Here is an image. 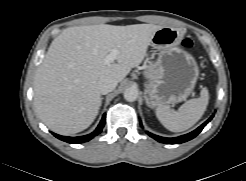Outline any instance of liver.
I'll return each mask as SVG.
<instances>
[{
	"instance_id": "liver-1",
	"label": "liver",
	"mask_w": 246,
	"mask_h": 181,
	"mask_svg": "<svg viewBox=\"0 0 246 181\" xmlns=\"http://www.w3.org/2000/svg\"><path fill=\"white\" fill-rule=\"evenodd\" d=\"M162 26L106 24L66 28L51 43L34 80V106L52 131L75 134L95 120L101 95L98 81L111 76L121 82L144 60L150 39ZM118 49L117 63H105Z\"/></svg>"
}]
</instances>
